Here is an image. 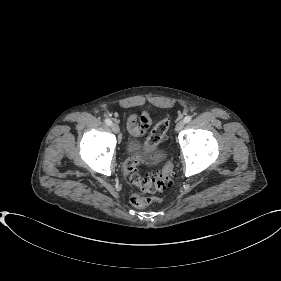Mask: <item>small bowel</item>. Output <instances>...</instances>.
<instances>
[{
  "mask_svg": "<svg viewBox=\"0 0 281 281\" xmlns=\"http://www.w3.org/2000/svg\"><path fill=\"white\" fill-rule=\"evenodd\" d=\"M150 124L151 120L147 113H143L140 117L132 114L127 119V129L132 136L144 135Z\"/></svg>",
  "mask_w": 281,
  "mask_h": 281,
  "instance_id": "small-bowel-1",
  "label": "small bowel"
}]
</instances>
